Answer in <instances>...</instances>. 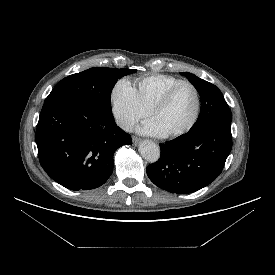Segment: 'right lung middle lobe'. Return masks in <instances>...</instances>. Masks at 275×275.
<instances>
[{
  "mask_svg": "<svg viewBox=\"0 0 275 275\" xmlns=\"http://www.w3.org/2000/svg\"><path fill=\"white\" fill-rule=\"evenodd\" d=\"M136 72L134 69L90 68L62 79L51 91L45 104L84 101L112 113L111 92L117 80Z\"/></svg>",
  "mask_w": 275,
  "mask_h": 275,
  "instance_id": "1",
  "label": "right lung middle lobe"
}]
</instances>
